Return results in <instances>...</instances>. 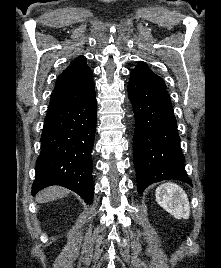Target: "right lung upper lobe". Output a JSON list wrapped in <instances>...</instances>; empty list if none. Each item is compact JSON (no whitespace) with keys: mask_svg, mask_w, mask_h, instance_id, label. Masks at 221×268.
I'll use <instances>...</instances> for the list:
<instances>
[{"mask_svg":"<svg viewBox=\"0 0 221 268\" xmlns=\"http://www.w3.org/2000/svg\"><path fill=\"white\" fill-rule=\"evenodd\" d=\"M93 91L92 71L86 64V58L80 56L58 76L49 107L73 103Z\"/></svg>","mask_w":221,"mask_h":268,"instance_id":"right-lung-upper-lobe-1","label":"right lung upper lobe"}]
</instances>
